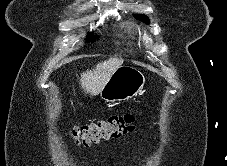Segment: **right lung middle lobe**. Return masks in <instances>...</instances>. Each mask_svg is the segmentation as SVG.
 Returning a JSON list of instances; mask_svg holds the SVG:
<instances>
[{
  "instance_id": "right-lung-middle-lobe-1",
  "label": "right lung middle lobe",
  "mask_w": 227,
  "mask_h": 166,
  "mask_svg": "<svg viewBox=\"0 0 227 166\" xmlns=\"http://www.w3.org/2000/svg\"><path fill=\"white\" fill-rule=\"evenodd\" d=\"M90 37V36H89ZM96 40V38L94 37L93 39H90V38H88V42H93V41H95Z\"/></svg>"
}]
</instances>
